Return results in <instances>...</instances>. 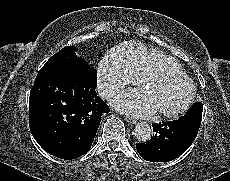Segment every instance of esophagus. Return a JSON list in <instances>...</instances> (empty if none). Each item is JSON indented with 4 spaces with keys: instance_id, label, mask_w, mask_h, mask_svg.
Instances as JSON below:
<instances>
[{
    "instance_id": "obj_1",
    "label": "esophagus",
    "mask_w": 230,
    "mask_h": 181,
    "mask_svg": "<svg viewBox=\"0 0 230 181\" xmlns=\"http://www.w3.org/2000/svg\"><path fill=\"white\" fill-rule=\"evenodd\" d=\"M125 120L130 124H135L136 120L130 116H125Z\"/></svg>"
}]
</instances>
